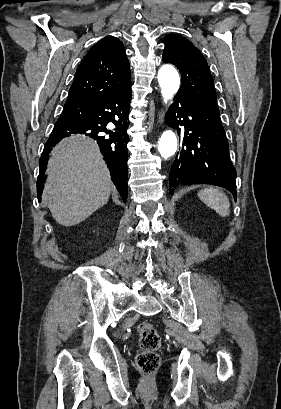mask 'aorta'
Segmentation results:
<instances>
[{
    "mask_svg": "<svg viewBox=\"0 0 281 409\" xmlns=\"http://www.w3.org/2000/svg\"><path fill=\"white\" fill-rule=\"evenodd\" d=\"M158 82L161 94L167 103L177 93L180 86V78L177 70L171 65H163L158 71ZM177 150V137L171 130L163 132L159 139L158 151L164 159L175 154Z\"/></svg>",
    "mask_w": 281,
    "mask_h": 409,
    "instance_id": "762f6f07",
    "label": "aorta"
}]
</instances>
